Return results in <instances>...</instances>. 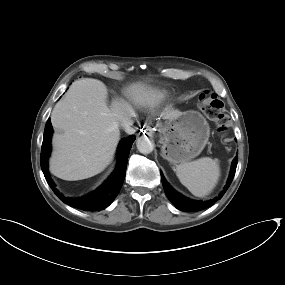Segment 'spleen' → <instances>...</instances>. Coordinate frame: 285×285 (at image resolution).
<instances>
[{
    "label": "spleen",
    "instance_id": "3e777b00",
    "mask_svg": "<svg viewBox=\"0 0 285 285\" xmlns=\"http://www.w3.org/2000/svg\"><path fill=\"white\" fill-rule=\"evenodd\" d=\"M180 182L196 197L210 194L218 183V159L203 157L173 167Z\"/></svg>",
    "mask_w": 285,
    "mask_h": 285
}]
</instances>
